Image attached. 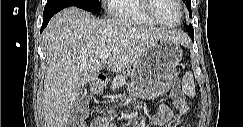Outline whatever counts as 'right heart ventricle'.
I'll list each match as a JSON object with an SVG mask.
<instances>
[{
	"mask_svg": "<svg viewBox=\"0 0 243 127\" xmlns=\"http://www.w3.org/2000/svg\"><path fill=\"white\" fill-rule=\"evenodd\" d=\"M109 11L115 19L129 24L142 27L157 26L146 15L143 0H111Z\"/></svg>",
	"mask_w": 243,
	"mask_h": 127,
	"instance_id": "obj_1",
	"label": "right heart ventricle"
}]
</instances>
